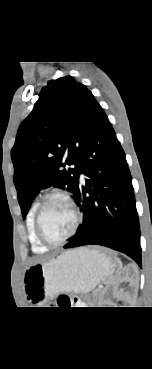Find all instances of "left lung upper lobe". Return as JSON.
<instances>
[{"label": "left lung upper lobe", "instance_id": "1", "mask_svg": "<svg viewBox=\"0 0 152 369\" xmlns=\"http://www.w3.org/2000/svg\"><path fill=\"white\" fill-rule=\"evenodd\" d=\"M99 107L92 93L71 76L51 80L41 90L11 151L23 217L43 188L55 186L75 195L81 153ZM63 160L75 167L63 169Z\"/></svg>", "mask_w": 152, "mask_h": 369}]
</instances>
